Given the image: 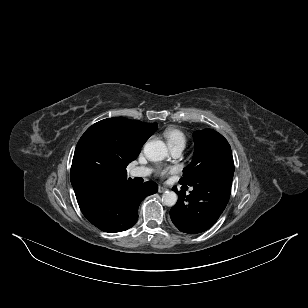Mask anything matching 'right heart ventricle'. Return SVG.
<instances>
[{
    "label": "right heart ventricle",
    "instance_id": "e07e8e85",
    "mask_svg": "<svg viewBox=\"0 0 308 308\" xmlns=\"http://www.w3.org/2000/svg\"><path fill=\"white\" fill-rule=\"evenodd\" d=\"M163 135L169 147L171 146L185 147L187 143V137L181 129L170 127L164 131Z\"/></svg>",
    "mask_w": 308,
    "mask_h": 308
}]
</instances>
